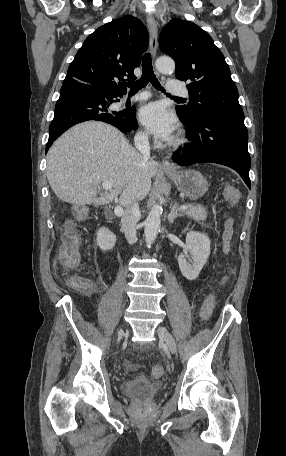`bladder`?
I'll return each mask as SVG.
<instances>
[{"label":"bladder","mask_w":286,"mask_h":456,"mask_svg":"<svg viewBox=\"0 0 286 456\" xmlns=\"http://www.w3.org/2000/svg\"><path fill=\"white\" fill-rule=\"evenodd\" d=\"M161 390L159 384H153L146 377H136L122 382L121 391L139 401L152 400Z\"/></svg>","instance_id":"1"}]
</instances>
